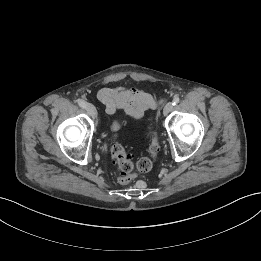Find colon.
Segmentation results:
<instances>
[{
	"label": "colon",
	"instance_id": "5ec220e1",
	"mask_svg": "<svg viewBox=\"0 0 261 261\" xmlns=\"http://www.w3.org/2000/svg\"><path fill=\"white\" fill-rule=\"evenodd\" d=\"M113 130L119 129L117 123L113 124ZM160 147L156 135L153 136L149 147V153L151 158H140L134 161L132 156L118 143H115L111 147L112 162L116 164L120 170V176L118 181L121 184L129 183L137 172H147L151 170L153 166V159H155L159 153Z\"/></svg>",
	"mask_w": 261,
	"mask_h": 261
}]
</instances>
